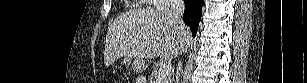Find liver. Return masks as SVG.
I'll return each instance as SVG.
<instances>
[{
  "label": "liver",
  "instance_id": "6515ba94",
  "mask_svg": "<svg viewBox=\"0 0 307 83\" xmlns=\"http://www.w3.org/2000/svg\"><path fill=\"white\" fill-rule=\"evenodd\" d=\"M190 42V29L185 25L181 30L170 10H134L110 25L104 63L109 66L124 56L143 63L145 68V59L160 56L163 60H173L188 48Z\"/></svg>",
  "mask_w": 307,
  "mask_h": 83
}]
</instances>
